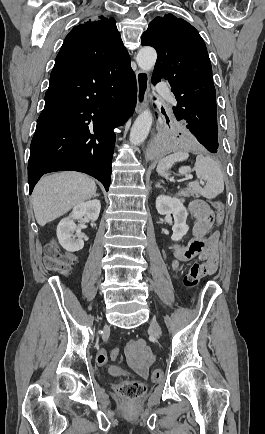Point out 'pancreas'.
Instances as JSON below:
<instances>
[{
	"mask_svg": "<svg viewBox=\"0 0 265 434\" xmlns=\"http://www.w3.org/2000/svg\"><path fill=\"white\" fill-rule=\"evenodd\" d=\"M177 196H184V198H189V196H193V198H199L198 192H195V190H192V188H184V190H181ZM182 202H184L183 198H181Z\"/></svg>",
	"mask_w": 265,
	"mask_h": 434,
	"instance_id": "obj_1",
	"label": "pancreas"
}]
</instances>
